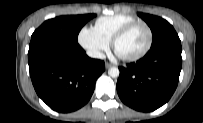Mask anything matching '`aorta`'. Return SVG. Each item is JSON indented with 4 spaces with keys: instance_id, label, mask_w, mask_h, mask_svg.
I'll return each mask as SVG.
<instances>
[{
    "instance_id": "1",
    "label": "aorta",
    "mask_w": 203,
    "mask_h": 123,
    "mask_svg": "<svg viewBox=\"0 0 203 123\" xmlns=\"http://www.w3.org/2000/svg\"><path fill=\"white\" fill-rule=\"evenodd\" d=\"M120 72L119 69L117 67H111L108 70V75L112 78H117L119 76Z\"/></svg>"
}]
</instances>
